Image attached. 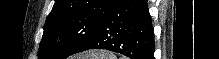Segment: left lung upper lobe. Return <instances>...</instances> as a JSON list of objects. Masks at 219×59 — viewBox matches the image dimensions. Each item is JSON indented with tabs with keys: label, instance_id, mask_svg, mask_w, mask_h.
Wrapping results in <instances>:
<instances>
[{
	"label": "left lung upper lobe",
	"instance_id": "left-lung-upper-lobe-1",
	"mask_svg": "<svg viewBox=\"0 0 219 59\" xmlns=\"http://www.w3.org/2000/svg\"><path fill=\"white\" fill-rule=\"evenodd\" d=\"M112 3L113 0H55L45 22L38 59H65L74 54L93 37Z\"/></svg>",
	"mask_w": 219,
	"mask_h": 59
}]
</instances>
